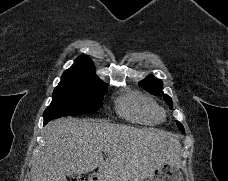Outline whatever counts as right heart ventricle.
Instances as JSON below:
<instances>
[{
    "instance_id": "right-heart-ventricle-1",
    "label": "right heart ventricle",
    "mask_w": 228,
    "mask_h": 181,
    "mask_svg": "<svg viewBox=\"0 0 228 181\" xmlns=\"http://www.w3.org/2000/svg\"><path fill=\"white\" fill-rule=\"evenodd\" d=\"M120 113L131 120L156 123L162 117L161 110L153 103L131 96L120 106Z\"/></svg>"
}]
</instances>
